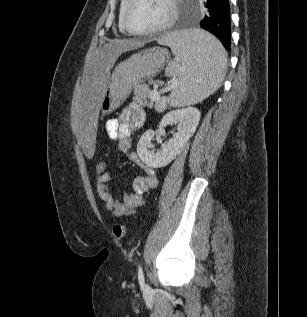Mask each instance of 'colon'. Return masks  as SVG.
I'll return each instance as SVG.
<instances>
[{"label": "colon", "mask_w": 307, "mask_h": 317, "mask_svg": "<svg viewBox=\"0 0 307 317\" xmlns=\"http://www.w3.org/2000/svg\"><path fill=\"white\" fill-rule=\"evenodd\" d=\"M95 172L96 174L102 175L105 172H107V164L104 160H98L95 164ZM113 234L114 236L119 239L122 240L127 236V228L124 224H116L113 227Z\"/></svg>", "instance_id": "colon-1"}]
</instances>
